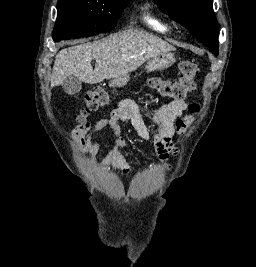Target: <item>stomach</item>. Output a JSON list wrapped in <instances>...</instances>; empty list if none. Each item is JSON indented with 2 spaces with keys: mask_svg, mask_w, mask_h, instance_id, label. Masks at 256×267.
Listing matches in <instances>:
<instances>
[{
  "mask_svg": "<svg viewBox=\"0 0 256 267\" xmlns=\"http://www.w3.org/2000/svg\"><path fill=\"white\" fill-rule=\"evenodd\" d=\"M176 62L174 54H161L154 62H148V67H155L156 70H165Z\"/></svg>",
  "mask_w": 256,
  "mask_h": 267,
  "instance_id": "obj_1",
  "label": "stomach"
}]
</instances>
